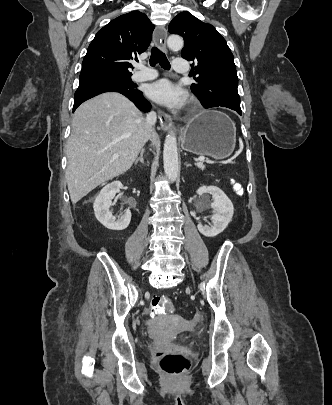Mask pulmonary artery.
I'll return each instance as SVG.
<instances>
[{"instance_id":"e3ab8cb5","label":"pulmonary artery","mask_w":332,"mask_h":405,"mask_svg":"<svg viewBox=\"0 0 332 405\" xmlns=\"http://www.w3.org/2000/svg\"><path fill=\"white\" fill-rule=\"evenodd\" d=\"M173 69L180 74H186L189 71L188 63L183 58H176L173 61ZM157 76L156 71L140 66V70L133 75L134 81H147L154 79Z\"/></svg>"}]
</instances>
